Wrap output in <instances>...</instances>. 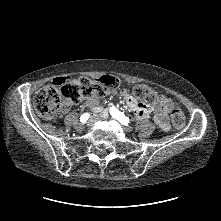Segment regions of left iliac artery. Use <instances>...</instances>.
Wrapping results in <instances>:
<instances>
[{
  "instance_id": "44dca946",
  "label": "left iliac artery",
  "mask_w": 221,
  "mask_h": 221,
  "mask_svg": "<svg viewBox=\"0 0 221 221\" xmlns=\"http://www.w3.org/2000/svg\"><path fill=\"white\" fill-rule=\"evenodd\" d=\"M110 114L113 118L119 120L120 123L124 125H128L129 118L126 117L122 112H120L117 108L114 106L110 108Z\"/></svg>"
}]
</instances>
